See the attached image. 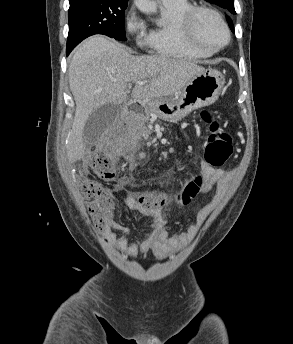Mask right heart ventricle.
<instances>
[{"label": "right heart ventricle", "mask_w": 293, "mask_h": 344, "mask_svg": "<svg viewBox=\"0 0 293 344\" xmlns=\"http://www.w3.org/2000/svg\"><path fill=\"white\" fill-rule=\"evenodd\" d=\"M193 7L195 4L190 0L162 3L161 14L164 23L149 29L144 36L143 45L152 54L166 58L200 60L211 56L212 54L203 53L191 47L181 33L180 21Z\"/></svg>", "instance_id": "1"}]
</instances>
